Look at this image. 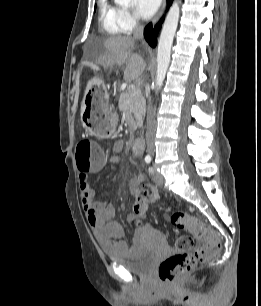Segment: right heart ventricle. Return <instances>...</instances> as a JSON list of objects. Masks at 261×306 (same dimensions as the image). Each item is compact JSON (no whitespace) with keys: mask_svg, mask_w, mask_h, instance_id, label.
<instances>
[{"mask_svg":"<svg viewBox=\"0 0 261 306\" xmlns=\"http://www.w3.org/2000/svg\"><path fill=\"white\" fill-rule=\"evenodd\" d=\"M120 8L110 0H100L99 27L109 35H120L126 32L120 22Z\"/></svg>","mask_w":261,"mask_h":306,"instance_id":"obj_1","label":"right heart ventricle"}]
</instances>
